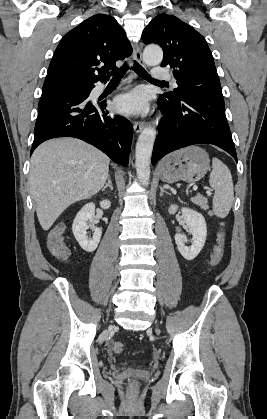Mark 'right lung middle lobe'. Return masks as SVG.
Masks as SVG:
<instances>
[{"mask_svg": "<svg viewBox=\"0 0 267 419\" xmlns=\"http://www.w3.org/2000/svg\"><path fill=\"white\" fill-rule=\"evenodd\" d=\"M67 87H70V88H77V87H79V86H75V85H67Z\"/></svg>", "mask_w": 267, "mask_h": 419, "instance_id": "dd1d6c3e", "label": "right lung middle lobe"}]
</instances>
